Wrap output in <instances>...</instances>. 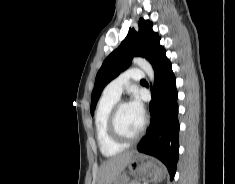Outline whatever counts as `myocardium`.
I'll use <instances>...</instances> for the list:
<instances>
[{
    "instance_id": "1",
    "label": "myocardium",
    "mask_w": 235,
    "mask_h": 184,
    "mask_svg": "<svg viewBox=\"0 0 235 184\" xmlns=\"http://www.w3.org/2000/svg\"><path fill=\"white\" fill-rule=\"evenodd\" d=\"M125 105H128V104L124 101H119L111 109L109 117H108V130H109V133L112 136V138L115 139L117 142H119L121 144H133V143L138 142L142 138V136L145 132L148 120L146 117H143V124L141 126L140 131L138 132V134L135 137H132V138L126 137L121 132L119 125H118L119 111Z\"/></svg>"
}]
</instances>
